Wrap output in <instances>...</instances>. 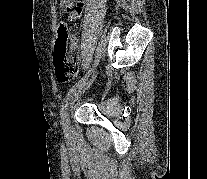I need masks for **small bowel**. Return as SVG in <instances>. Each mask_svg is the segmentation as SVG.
Segmentation results:
<instances>
[{"label": "small bowel", "mask_w": 207, "mask_h": 179, "mask_svg": "<svg viewBox=\"0 0 207 179\" xmlns=\"http://www.w3.org/2000/svg\"><path fill=\"white\" fill-rule=\"evenodd\" d=\"M83 7H84V3L82 1H78L76 3V9L75 11L72 13L70 19H77L80 17V15L82 14V11H83ZM78 47L76 41H73L72 42V49L73 50H76Z\"/></svg>", "instance_id": "1"}]
</instances>
